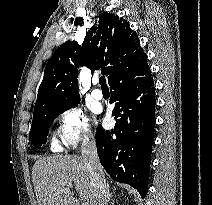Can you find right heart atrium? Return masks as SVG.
Instances as JSON below:
<instances>
[{
	"instance_id": "right-heart-atrium-1",
	"label": "right heart atrium",
	"mask_w": 212,
	"mask_h": 205,
	"mask_svg": "<svg viewBox=\"0 0 212 205\" xmlns=\"http://www.w3.org/2000/svg\"><path fill=\"white\" fill-rule=\"evenodd\" d=\"M57 134L68 148L88 143L93 139L87 117L78 107H69L59 114Z\"/></svg>"
}]
</instances>
